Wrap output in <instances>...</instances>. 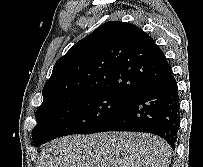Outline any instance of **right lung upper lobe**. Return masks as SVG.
<instances>
[{"label": "right lung upper lobe", "instance_id": "right-lung-upper-lobe-1", "mask_svg": "<svg viewBox=\"0 0 203 167\" xmlns=\"http://www.w3.org/2000/svg\"><path fill=\"white\" fill-rule=\"evenodd\" d=\"M171 73L165 55L141 28L106 22L55 63L37 111L96 93L131 99Z\"/></svg>", "mask_w": 203, "mask_h": 167}]
</instances>
